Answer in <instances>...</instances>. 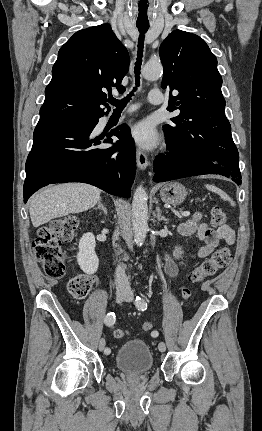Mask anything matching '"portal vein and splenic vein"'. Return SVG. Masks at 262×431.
Listing matches in <instances>:
<instances>
[{"instance_id":"1","label":"portal vein and splenic vein","mask_w":262,"mask_h":431,"mask_svg":"<svg viewBox=\"0 0 262 431\" xmlns=\"http://www.w3.org/2000/svg\"><path fill=\"white\" fill-rule=\"evenodd\" d=\"M190 215V212L189 211H185V212H182L181 213V216H183V217H187V216H189Z\"/></svg>"}]
</instances>
